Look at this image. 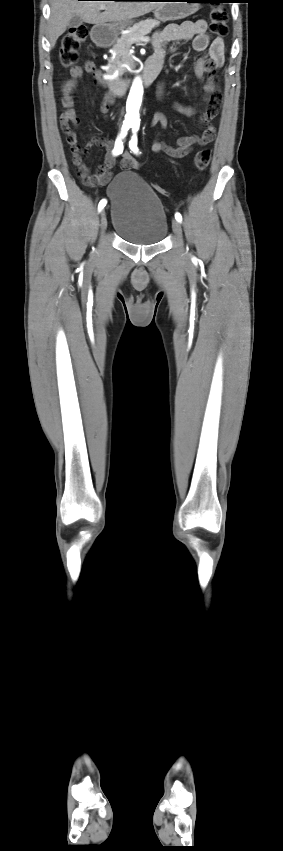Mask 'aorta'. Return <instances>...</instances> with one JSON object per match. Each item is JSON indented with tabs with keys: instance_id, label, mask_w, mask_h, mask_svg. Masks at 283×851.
Returning <instances> with one entry per match:
<instances>
[{
	"instance_id": "762f6f07",
	"label": "aorta",
	"mask_w": 283,
	"mask_h": 851,
	"mask_svg": "<svg viewBox=\"0 0 283 851\" xmlns=\"http://www.w3.org/2000/svg\"><path fill=\"white\" fill-rule=\"evenodd\" d=\"M143 84L140 77H136L132 83L127 99L126 119L130 122L139 121V108L142 102Z\"/></svg>"
}]
</instances>
